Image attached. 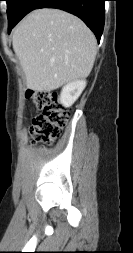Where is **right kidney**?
Returning a JSON list of instances; mask_svg holds the SVG:
<instances>
[{"label": "right kidney", "instance_id": "obj_1", "mask_svg": "<svg viewBox=\"0 0 133 253\" xmlns=\"http://www.w3.org/2000/svg\"><path fill=\"white\" fill-rule=\"evenodd\" d=\"M86 86V81H76L67 84L61 92L60 102L64 107H70L81 95Z\"/></svg>", "mask_w": 133, "mask_h": 253}]
</instances>
